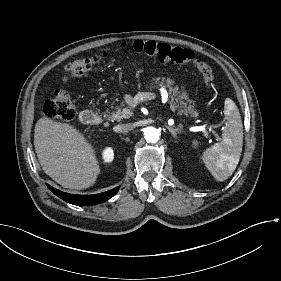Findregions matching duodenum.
<instances>
[{"mask_svg":"<svg viewBox=\"0 0 281 281\" xmlns=\"http://www.w3.org/2000/svg\"><path fill=\"white\" fill-rule=\"evenodd\" d=\"M80 119L83 123L87 125H97L102 122V118L98 113L88 109L84 110L81 113Z\"/></svg>","mask_w":281,"mask_h":281,"instance_id":"1","label":"duodenum"}]
</instances>
